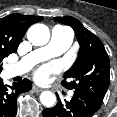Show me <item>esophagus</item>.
I'll list each match as a JSON object with an SVG mask.
<instances>
[{
    "mask_svg": "<svg viewBox=\"0 0 117 117\" xmlns=\"http://www.w3.org/2000/svg\"><path fill=\"white\" fill-rule=\"evenodd\" d=\"M33 90H34V92H41V91H42L41 88H38V87H36V86L33 87Z\"/></svg>",
    "mask_w": 117,
    "mask_h": 117,
    "instance_id": "obj_1",
    "label": "esophagus"
}]
</instances>
